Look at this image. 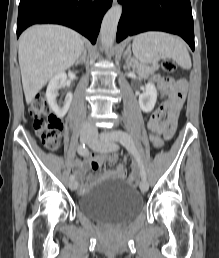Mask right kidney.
I'll return each mask as SVG.
<instances>
[{"instance_id": "obj_1", "label": "right kidney", "mask_w": 219, "mask_h": 258, "mask_svg": "<svg viewBox=\"0 0 219 258\" xmlns=\"http://www.w3.org/2000/svg\"><path fill=\"white\" fill-rule=\"evenodd\" d=\"M67 80V75L64 72H61L55 75L49 82L46 90V98L51 110L59 118H63L72 102L73 95L68 93L65 97V103L63 106L57 104L56 98L58 95V90L64 85Z\"/></svg>"}]
</instances>
